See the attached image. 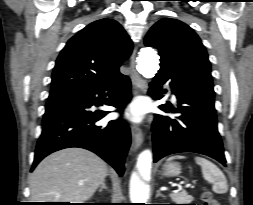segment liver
Masks as SVG:
<instances>
[{"label": "liver", "mask_w": 253, "mask_h": 205, "mask_svg": "<svg viewBox=\"0 0 253 205\" xmlns=\"http://www.w3.org/2000/svg\"><path fill=\"white\" fill-rule=\"evenodd\" d=\"M107 173L106 162L88 150L57 151L42 160L31 174V200L84 203L102 184Z\"/></svg>", "instance_id": "obj_1"}]
</instances>
